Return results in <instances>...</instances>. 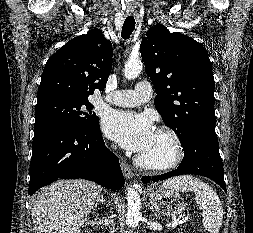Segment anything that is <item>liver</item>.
I'll list each match as a JSON object with an SVG mask.
<instances>
[{
	"instance_id": "6515ba94",
	"label": "liver",
	"mask_w": 253,
	"mask_h": 233,
	"mask_svg": "<svg viewBox=\"0 0 253 233\" xmlns=\"http://www.w3.org/2000/svg\"><path fill=\"white\" fill-rule=\"evenodd\" d=\"M102 188L87 180H59L31 200L35 233H80Z\"/></svg>"
}]
</instances>
